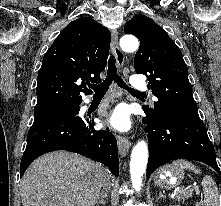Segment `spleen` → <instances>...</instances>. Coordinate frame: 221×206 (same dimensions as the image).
<instances>
[{"instance_id": "1", "label": "spleen", "mask_w": 221, "mask_h": 206, "mask_svg": "<svg viewBox=\"0 0 221 206\" xmlns=\"http://www.w3.org/2000/svg\"><path fill=\"white\" fill-rule=\"evenodd\" d=\"M174 166L185 168L193 171L195 174H201V170L187 160H177L173 162ZM204 191V199L196 202V206H218L219 205V190L215 181L210 176H205L202 180ZM221 206V204H220Z\"/></svg>"}]
</instances>
